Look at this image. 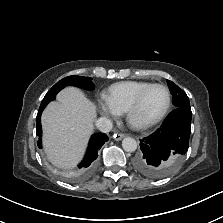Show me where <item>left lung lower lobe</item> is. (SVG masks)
Wrapping results in <instances>:
<instances>
[{
  "instance_id": "obj_1",
  "label": "left lung lower lobe",
  "mask_w": 223,
  "mask_h": 223,
  "mask_svg": "<svg viewBox=\"0 0 223 223\" xmlns=\"http://www.w3.org/2000/svg\"><path fill=\"white\" fill-rule=\"evenodd\" d=\"M191 115V110L175 108L158 130L140 140L141 151L134 159L140 173L162 178L178 166L189 147Z\"/></svg>"
}]
</instances>
